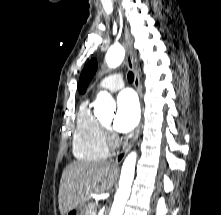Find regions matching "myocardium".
Listing matches in <instances>:
<instances>
[{"instance_id": "f54148a6", "label": "myocardium", "mask_w": 221, "mask_h": 215, "mask_svg": "<svg viewBox=\"0 0 221 215\" xmlns=\"http://www.w3.org/2000/svg\"><path fill=\"white\" fill-rule=\"evenodd\" d=\"M103 127H104V128H108V125L105 124V125H103Z\"/></svg>"}]
</instances>
